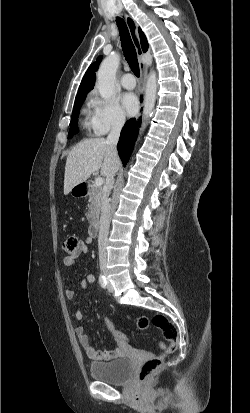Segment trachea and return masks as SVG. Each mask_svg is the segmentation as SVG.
Here are the masks:
<instances>
[{
    "label": "trachea",
    "instance_id": "obj_1",
    "mask_svg": "<svg viewBox=\"0 0 250 413\" xmlns=\"http://www.w3.org/2000/svg\"><path fill=\"white\" fill-rule=\"evenodd\" d=\"M116 22H117V26H118L119 33H120V40H121V45H122L125 59L128 62L133 73L137 77H139L140 71H139V64L137 60V54H136L135 47L132 43L127 25L122 18H117Z\"/></svg>",
    "mask_w": 250,
    "mask_h": 413
}]
</instances>
